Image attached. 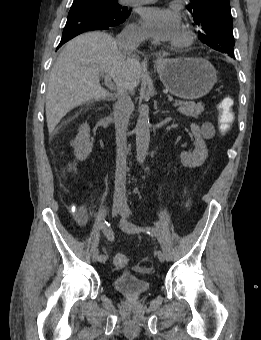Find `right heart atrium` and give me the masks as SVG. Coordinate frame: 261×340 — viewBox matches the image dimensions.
I'll return each instance as SVG.
<instances>
[{
    "label": "right heart atrium",
    "instance_id": "right-heart-atrium-1",
    "mask_svg": "<svg viewBox=\"0 0 261 340\" xmlns=\"http://www.w3.org/2000/svg\"><path fill=\"white\" fill-rule=\"evenodd\" d=\"M126 34L130 36L143 37L144 33L142 28L137 24H131L126 29Z\"/></svg>",
    "mask_w": 261,
    "mask_h": 340
}]
</instances>
